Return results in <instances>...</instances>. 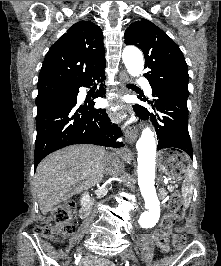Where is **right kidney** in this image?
I'll return each instance as SVG.
<instances>
[{"label": "right kidney", "instance_id": "1", "mask_svg": "<svg viewBox=\"0 0 221 266\" xmlns=\"http://www.w3.org/2000/svg\"><path fill=\"white\" fill-rule=\"evenodd\" d=\"M89 201H90L89 200V194L85 192L83 194L82 199H81V204L84 205V206H86L89 203Z\"/></svg>", "mask_w": 221, "mask_h": 266}]
</instances>
